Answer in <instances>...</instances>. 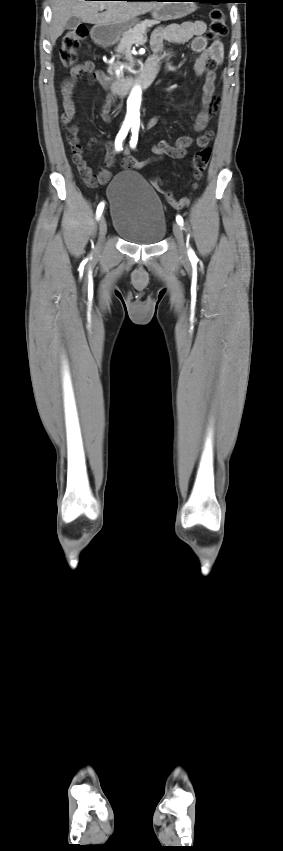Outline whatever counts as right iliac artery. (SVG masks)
I'll use <instances>...</instances> for the list:
<instances>
[{
    "label": "right iliac artery",
    "instance_id": "82829eb1",
    "mask_svg": "<svg viewBox=\"0 0 283 851\" xmlns=\"http://www.w3.org/2000/svg\"><path fill=\"white\" fill-rule=\"evenodd\" d=\"M130 127H131V125L128 124V123H125V124L122 125V127H121V129H120V131H119V133H118V135L115 139V148H116L117 151L122 150V142L125 139V137L127 136ZM103 209H104V203L101 202L97 207V211H96L97 218H99L101 216Z\"/></svg>",
    "mask_w": 283,
    "mask_h": 851
}]
</instances>
